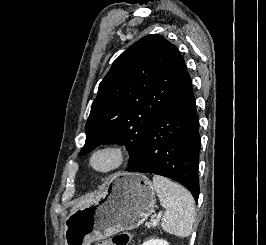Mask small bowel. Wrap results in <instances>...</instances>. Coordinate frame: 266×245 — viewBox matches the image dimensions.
<instances>
[{
    "label": "small bowel",
    "mask_w": 266,
    "mask_h": 245,
    "mask_svg": "<svg viewBox=\"0 0 266 245\" xmlns=\"http://www.w3.org/2000/svg\"><path fill=\"white\" fill-rule=\"evenodd\" d=\"M102 242H110V241H102Z\"/></svg>",
    "instance_id": "c3829d8e"
}]
</instances>
